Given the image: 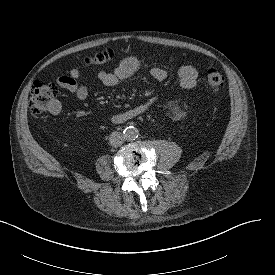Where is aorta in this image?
Here are the masks:
<instances>
[{
    "mask_svg": "<svg viewBox=\"0 0 275 275\" xmlns=\"http://www.w3.org/2000/svg\"><path fill=\"white\" fill-rule=\"evenodd\" d=\"M123 135L126 140L131 141V140H135L138 137L139 131L136 127L129 126L124 129Z\"/></svg>",
    "mask_w": 275,
    "mask_h": 275,
    "instance_id": "obj_1",
    "label": "aorta"
}]
</instances>
